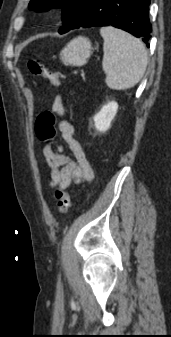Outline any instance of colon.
Masks as SVG:
<instances>
[{"mask_svg": "<svg viewBox=\"0 0 171 337\" xmlns=\"http://www.w3.org/2000/svg\"><path fill=\"white\" fill-rule=\"evenodd\" d=\"M29 71L35 75L44 77L54 84L61 81V76L53 69L47 67L38 60H30L28 62ZM56 117L51 111L41 112L35 122V133L41 141L51 142L56 136L55 129ZM57 209L60 214H65L70 206L71 197L68 191L56 188Z\"/></svg>", "mask_w": 171, "mask_h": 337, "instance_id": "obj_1", "label": "colon"}]
</instances>
